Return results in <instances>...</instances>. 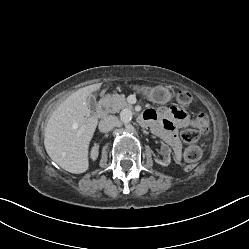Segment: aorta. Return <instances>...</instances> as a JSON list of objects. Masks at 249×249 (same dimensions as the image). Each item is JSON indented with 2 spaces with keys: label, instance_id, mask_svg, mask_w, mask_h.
<instances>
[{
  "label": "aorta",
  "instance_id": "762f6f07",
  "mask_svg": "<svg viewBox=\"0 0 249 249\" xmlns=\"http://www.w3.org/2000/svg\"><path fill=\"white\" fill-rule=\"evenodd\" d=\"M120 118L123 123H128L132 119V112L129 109H125L121 112Z\"/></svg>",
  "mask_w": 249,
  "mask_h": 249
}]
</instances>
